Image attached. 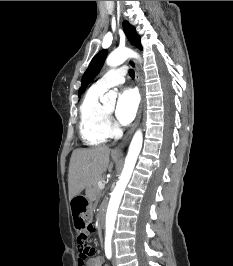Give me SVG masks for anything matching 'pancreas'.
Returning <instances> with one entry per match:
<instances>
[{
    "instance_id": "1",
    "label": "pancreas",
    "mask_w": 233,
    "mask_h": 266,
    "mask_svg": "<svg viewBox=\"0 0 233 266\" xmlns=\"http://www.w3.org/2000/svg\"><path fill=\"white\" fill-rule=\"evenodd\" d=\"M101 178H99L96 182H94L91 186L87 187L86 189V195L91 200H98L100 196V190L98 187V183L101 182Z\"/></svg>"
}]
</instances>
